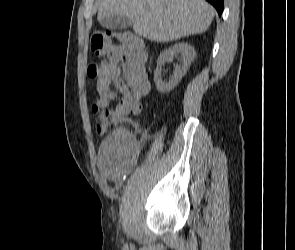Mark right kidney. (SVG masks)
I'll list each match as a JSON object with an SVG mask.
<instances>
[{
	"mask_svg": "<svg viewBox=\"0 0 295 250\" xmlns=\"http://www.w3.org/2000/svg\"><path fill=\"white\" fill-rule=\"evenodd\" d=\"M179 54L181 56L182 63L180 65H176L174 76L168 82L163 81L161 76L162 66H164L166 62L172 61L174 57ZM195 57L196 53L194 48L184 42L177 43L169 49L162 51L157 60V68L154 71V81L157 90L161 93H168L174 89L182 77L186 74Z\"/></svg>",
	"mask_w": 295,
	"mask_h": 250,
	"instance_id": "obj_1",
	"label": "right kidney"
}]
</instances>
